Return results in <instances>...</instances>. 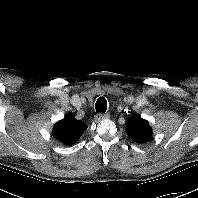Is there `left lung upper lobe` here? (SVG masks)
Masks as SVG:
<instances>
[{"label":"left lung upper lobe","mask_w":198,"mask_h":198,"mask_svg":"<svg viewBox=\"0 0 198 198\" xmlns=\"http://www.w3.org/2000/svg\"><path fill=\"white\" fill-rule=\"evenodd\" d=\"M127 135L137 143H144L152 136V129L147 120L138 114H133L126 123Z\"/></svg>","instance_id":"left-lung-upper-lobe-1"}]
</instances>
